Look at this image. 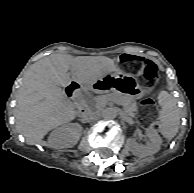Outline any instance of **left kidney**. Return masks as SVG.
Instances as JSON below:
<instances>
[{
	"label": "left kidney",
	"mask_w": 194,
	"mask_h": 193,
	"mask_svg": "<svg viewBox=\"0 0 194 193\" xmlns=\"http://www.w3.org/2000/svg\"><path fill=\"white\" fill-rule=\"evenodd\" d=\"M146 135L149 138L150 142H148L145 146H139L138 143L133 139H130L128 141L130 150L134 155L139 157H145L148 155L155 154L160 150L162 139L157 133V131L154 129H147Z\"/></svg>",
	"instance_id": "left-kidney-1"
}]
</instances>
